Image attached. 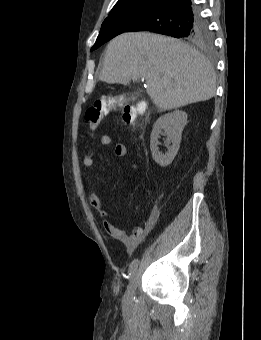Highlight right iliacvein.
Masks as SVG:
<instances>
[{
	"mask_svg": "<svg viewBox=\"0 0 261 340\" xmlns=\"http://www.w3.org/2000/svg\"><path fill=\"white\" fill-rule=\"evenodd\" d=\"M137 279H138V273L135 270L134 273L132 274L131 278H130L129 285H128L126 293L124 295V301L125 302H128L132 298V296L135 292L136 286H137Z\"/></svg>",
	"mask_w": 261,
	"mask_h": 340,
	"instance_id": "1",
	"label": "right iliac vein"
}]
</instances>
